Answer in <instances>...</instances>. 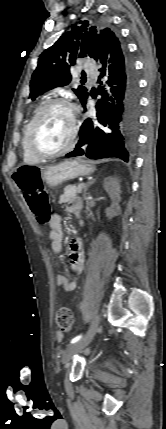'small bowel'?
<instances>
[{
  "instance_id": "obj_1",
  "label": "small bowel",
  "mask_w": 166,
  "mask_h": 429,
  "mask_svg": "<svg viewBox=\"0 0 166 429\" xmlns=\"http://www.w3.org/2000/svg\"><path fill=\"white\" fill-rule=\"evenodd\" d=\"M82 209V202L79 198L75 197L70 200L67 206V211L74 215H79ZM62 225L61 217L58 214H53L50 219V247L55 255H59L62 251ZM70 270L73 273L71 278L60 274L56 277V284L66 292H72L77 283V278L81 274L85 264V256L80 239H72L70 242ZM56 340L62 342L64 334L62 331L56 332Z\"/></svg>"
}]
</instances>
